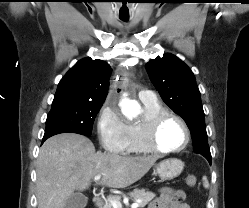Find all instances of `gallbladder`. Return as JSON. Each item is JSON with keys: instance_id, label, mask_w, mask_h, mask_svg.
Wrapping results in <instances>:
<instances>
[{"instance_id": "1", "label": "gallbladder", "mask_w": 249, "mask_h": 208, "mask_svg": "<svg viewBox=\"0 0 249 208\" xmlns=\"http://www.w3.org/2000/svg\"><path fill=\"white\" fill-rule=\"evenodd\" d=\"M88 202L87 196L82 193H73L66 201L65 208H85Z\"/></svg>"}]
</instances>
